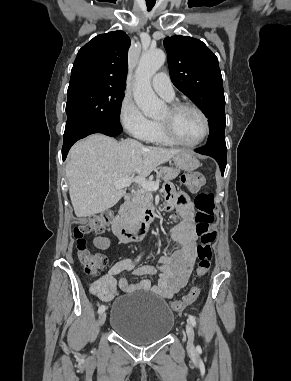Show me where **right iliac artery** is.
Segmentation results:
<instances>
[{"label":"right iliac artery","mask_w":291,"mask_h":381,"mask_svg":"<svg viewBox=\"0 0 291 381\" xmlns=\"http://www.w3.org/2000/svg\"><path fill=\"white\" fill-rule=\"evenodd\" d=\"M139 259H140V256L138 257L137 261H139ZM104 311H105V306H104V305H101V306L99 307V309H98V313H102V312H104Z\"/></svg>","instance_id":"82829eb1"}]
</instances>
